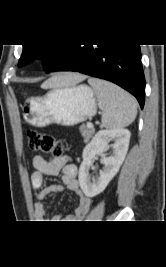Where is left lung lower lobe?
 Returning <instances> with one entry per match:
<instances>
[{"instance_id": "1", "label": "left lung lower lobe", "mask_w": 166, "mask_h": 267, "mask_svg": "<svg viewBox=\"0 0 166 267\" xmlns=\"http://www.w3.org/2000/svg\"><path fill=\"white\" fill-rule=\"evenodd\" d=\"M75 71L111 81L134 95L141 108L145 78L139 45L68 44L49 72Z\"/></svg>"}]
</instances>
